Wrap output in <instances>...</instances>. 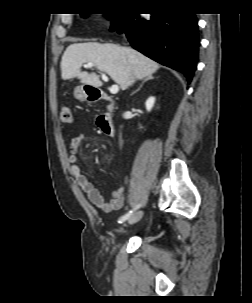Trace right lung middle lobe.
<instances>
[{
  "label": "right lung middle lobe",
  "mask_w": 252,
  "mask_h": 303,
  "mask_svg": "<svg viewBox=\"0 0 252 303\" xmlns=\"http://www.w3.org/2000/svg\"><path fill=\"white\" fill-rule=\"evenodd\" d=\"M83 17H87V14H81ZM127 14L123 13H114V14H106V16L112 20V24H117L119 21H121Z\"/></svg>",
  "instance_id": "1"
}]
</instances>
